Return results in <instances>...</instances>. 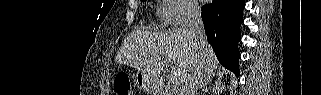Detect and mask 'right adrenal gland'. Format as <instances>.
I'll use <instances>...</instances> for the list:
<instances>
[{
    "instance_id": "1",
    "label": "right adrenal gland",
    "mask_w": 321,
    "mask_h": 95,
    "mask_svg": "<svg viewBox=\"0 0 321 95\" xmlns=\"http://www.w3.org/2000/svg\"><path fill=\"white\" fill-rule=\"evenodd\" d=\"M210 80H211V77H210V76H208L207 78H205V80L202 82L200 88H203L204 86H206V85L209 83Z\"/></svg>"
}]
</instances>
